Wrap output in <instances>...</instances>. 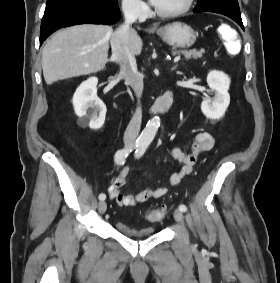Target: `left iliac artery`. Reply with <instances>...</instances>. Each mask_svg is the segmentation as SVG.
<instances>
[{
  "instance_id": "1",
  "label": "left iliac artery",
  "mask_w": 280,
  "mask_h": 283,
  "mask_svg": "<svg viewBox=\"0 0 280 283\" xmlns=\"http://www.w3.org/2000/svg\"><path fill=\"white\" fill-rule=\"evenodd\" d=\"M147 147H148V144H146V143L141 144L135 152V157L136 158L141 157L144 154V152L146 151ZM179 210L181 212H186L187 207L184 204H181V205H179Z\"/></svg>"
}]
</instances>
